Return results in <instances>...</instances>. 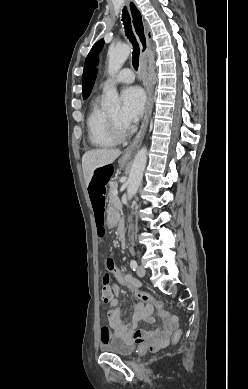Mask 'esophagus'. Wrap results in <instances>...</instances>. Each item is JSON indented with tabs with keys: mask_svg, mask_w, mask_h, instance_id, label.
<instances>
[{
	"mask_svg": "<svg viewBox=\"0 0 248 389\" xmlns=\"http://www.w3.org/2000/svg\"><path fill=\"white\" fill-rule=\"evenodd\" d=\"M128 7H129L130 14H131L133 30H134V33L137 37L139 46H140L141 56L143 58L146 56L149 57L152 53V48H151V44H150V41H149V38L147 35V28H146V24L144 22L143 15H142L139 7L137 6V4L135 3L134 0H128ZM145 87H146V91H147V95H148L145 116H144V119H143V122L141 124L139 132L135 136L133 142L125 150V152L122 156L123 160H128L130 158L132 152L134 151V149L136 148L138 143L144 137L148 123H149V119H150L151 112H152L153 87H152V84L150 82H147L145 84Z\"/></svg>",
	"mask_w": 248,
	"mask_h": 389,
	"instance_id": "esophagus-1",
	"label": "esophagus"
}]
</instances>
